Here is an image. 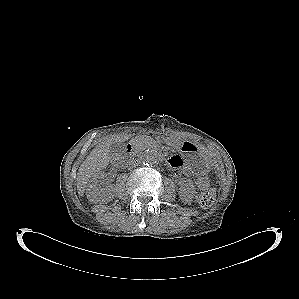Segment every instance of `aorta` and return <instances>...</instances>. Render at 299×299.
Returning <instances> with one entry per match:
<instances>
[{
	"label": "aorta",
	"instance_id": "762f6f07",
	"mask_svg": "<svg viewBox=\"0 0 299 299\" xmlns=\"http://www.w3.org/2000/svg\"><path fill=\"white\" fill-rule=\"evenodd\" d=\"M160 155L155 149H148L142 154V161L146 165H156L159 163Z\"/></svg>",
	"mask_w": 299,
	"mask_h": 299
}]
</instances>
